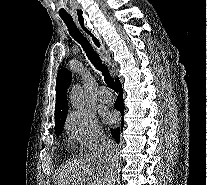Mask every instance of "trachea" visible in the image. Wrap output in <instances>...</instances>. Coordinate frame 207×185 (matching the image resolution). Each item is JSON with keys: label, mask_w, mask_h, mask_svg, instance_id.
<instances>
[{"label": "trachea", "mask_w": 207, "mask_h": 185, "mask_svg": "<svg viewBox=\"0 0 207 185\" xmlns=\"http://www.w3.org/2000/svg\"><path fill=\"white\" fill-rule=\"evenodd\" d=\"M61 18H62L63 22L67 25L70 35L78 43H80L82 45L84 51L88 55V58L91 60V62L99 70H101L103 72L107 86L112 88L113 90H115V92H117V87L115 85V82H114L113 78L111 77V75L109 74L107 68L101 64L100 58L98 57V55H96V53L93 50V48L91 47V44L89 43V41L78 30L73 19L65 18V17H61ZM81 26L87 33H90V32H88L87 28L84 27L83 22H81Z\"/></svg>", "instance_id": "1"}]
</instances>
